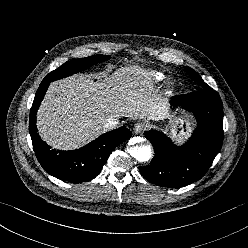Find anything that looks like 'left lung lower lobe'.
I'll list each match as a JSON object with an SVG mask.
<instances>
[{
	"label": "left lung lower lobe",
	"instance_id": "0a47b994",
	"mask_svg": "<svg viewBox=\"0 0 248 248\" xmlns=\"http://www.w3.org/2000/svg\"><path fill=\"white\" fill-rule=\"evenodd\" d=\"M171 105L193 112L198 126L183 146L174 145L160 131L145 132L155 156L149 165L139 169L149 182L174 188L197 181L211 166L223 141V107L219 94L208 88L175 96Z\"/></svg>",
	"mask_w": 248,
	"mask_h": 248
}]
</instances>
